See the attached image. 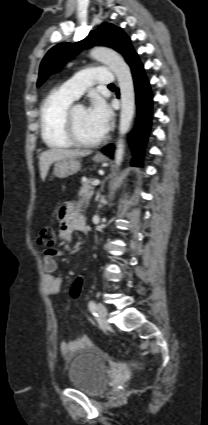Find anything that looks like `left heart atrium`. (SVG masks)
<instances>
[{
	"label": "left heart atrium",
	"mask_w": 208,
	"mask_h": 425,
	"mask_svg": "<svg viewBox=\"0 0 208 425\" xmlns=\"http://www.w3.org/2000/svg\"><path fill=\"white\" fill-rule=\"evenodd\" d=\"M87 113L99 134L103 136L108 131L111 121V111L106 102L95 97L87 109Z\"/></svg>",
	"instance_id": "left-heart-atrium-1"
}]
</instances>
